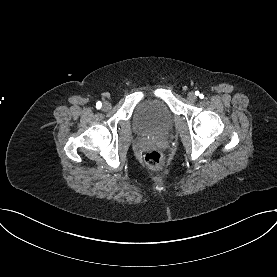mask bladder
<instances>
[{"instance_id": "1", "label": "bladder", "mask_w": 277, "mask_h": 277, "mask_svg": "<svg viewBox=\"0 0 277 277\" xmlns=\"http://www.w3.org/2000/svg\"><path fill=\"white\" fill-rule=\"evenodd\" d=\"M135 129L143 135H161L173 126V114L168 106L158 99L141 102L134 112Z\"/></svg>"}]
</instances>
